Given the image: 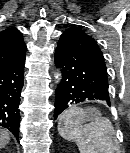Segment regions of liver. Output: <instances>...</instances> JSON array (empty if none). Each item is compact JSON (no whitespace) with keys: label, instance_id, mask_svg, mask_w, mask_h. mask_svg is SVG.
<instances>
[{"label":"liver","instance_id":"obj_1","mask_svg":"<svg viewBox=\"0 0 130 153\" xmlns=\"http://www.w3.org/2000/svg\"><path fill=\"white\" fill-rule=\"evenodd\" d=\"M10 141V135L9 133L5 130L0 128V149L5 147Z\"/></svg>","mask_w":130,"mask_h":153}]
</instances>
